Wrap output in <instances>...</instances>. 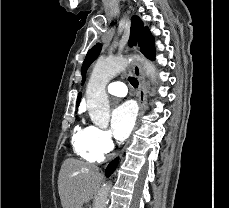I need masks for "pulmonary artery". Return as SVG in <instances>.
Returning <instances> with one entry per match:
<instances>
[{
  "label": "pulmonary artery",
  "mask_w": 229,
  "mask_h": 208,
  "mask_svg": "<svg viewBox=\"0 0 229 208\" xmlns=\"http://www.w3.org/2000/svg\"><path fill=\"white\" fill-rule=\"evenodd\" d=\"M114 77H111L113 79ZM107 91L109 94L124 97L127 94L126 85L122 81H112L107 86Z\"/></svg>",
  "instance_id": "pulmonary-artery-1"
}]
</instances>
